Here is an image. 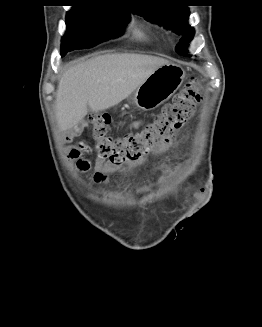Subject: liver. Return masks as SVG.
Segmentation results:
<instances>
[{"label":"liver","mask_w":262,"mask_h":327,"mask_svg":"<svg viewBox=\"0 0 262 327\" xmlns=\"http://www.w3.org/2000/svg\"><path fill=\"white\" fill-rule=\"evenodd\" d=\"M167 60L141 54H105L69 68L56 94L61 131L76 126L88 113L109 109L131 95Z\"/></svg>","instance_id":"6515ba94"}]
</instances>
